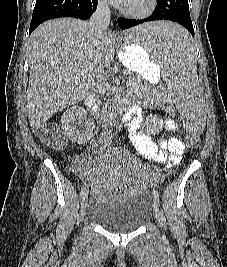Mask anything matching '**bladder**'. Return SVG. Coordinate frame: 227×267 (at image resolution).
<instances>
[{
  "label": "bladder",
  "instance_id": "obj_1",
  "mask_svg": "<svg viewBox=\"0 0 227 267\" xmlns=\"http://www.w3.org/2000/svg\"><path fill=\"white\" fill-rule=\"evenodd\" d=\"M150 215V204L143 195L129 196L121 200H95L87 211L91 221L115 233L137 230Z\"/></svg>",
  "mask_w": 227,
  "mask_h": 267
}]
</instances>
